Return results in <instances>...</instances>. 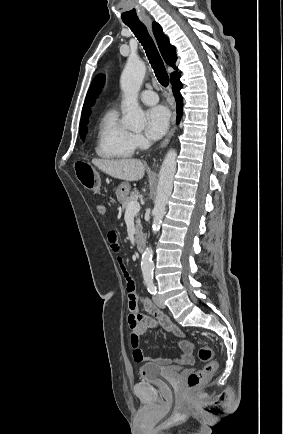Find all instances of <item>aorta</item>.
<instances>
[{"instance_id": "obj_1", "label": "aorta", "mask_w": 283, "mask_h": 434, "mask_svg": "<svg viewBox=\"0 0 283 434\" xmlns=\"http://www.w3.org/2000/svg\"><path fill=\"white\" fill-rule=\"evenodd\" d=\"M146 73L145 63L138 58H129L121 74L120 85L124 94L122 109L124 117L122 124L125 128L141 131L145 125V115L138 104V93ZM175 150H170L162 163L159 172L157 196L153 209L152 231L160 230L161 222L165 214V208L173 188V179L176 172ZM153 251L149 246L145 249L141 258V269L144 277H151L154 270L152 261Z\"/></svg>"}]
</instances>
